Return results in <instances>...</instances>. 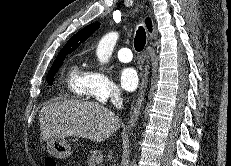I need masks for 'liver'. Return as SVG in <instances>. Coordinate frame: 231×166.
Here are the masks:
<instances>
[{
    "label": "liver",
    "instance_id": "6515ba94",
    "mask_svg": "<svg viewBox=\"0 0 231 166\" xmlns=\"http://www.w3.org/2000/svg\"><path fill=\"white\" fill-rule=\"evenodd\" d=\"M42 140L76 136L94 142L109 138L121 126L120 118L94 102L64 100L44 106L39 112Z\"/></svg>",
    "mask_w": 231,
    "mask_h": 166
}]
</instances>
